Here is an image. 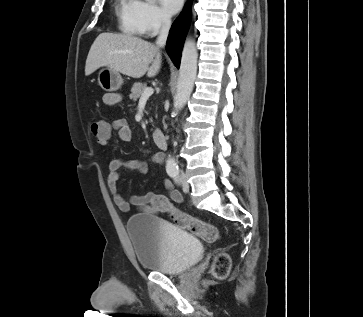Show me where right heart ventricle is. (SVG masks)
<instances>
[{"label": "right heart ventricle", "mask_w": 363, "mask_h": 317, "mask_svg": "<svg viewBox=\"0 0 363 317\" xmlns=\"http://www.w3.org/2000/svg\"><path fill=\"white\" fill-rule=\"evenodd\" d=\"M116 16L119 28L130 35L139 34L136 0H116Z\"/></svg>", "instance_id": "obj_1"}]
</instances>
